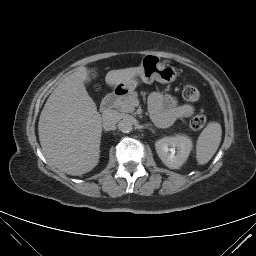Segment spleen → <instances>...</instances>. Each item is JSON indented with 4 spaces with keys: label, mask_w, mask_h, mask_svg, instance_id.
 <instances>
[{
    "label": "spleen",
    "mask_w": 256,
    "mask_h": 256,
    "mask_svg": "<svg viewBox=\"0 0 256 256\" xmlns=\"http://www.w3.org/2000/svg\"><path fill=\"white\" fill-rule=\"evenodd\" d=\"M222 136V128L218 122H210L198 137L196 144V159L198 164L204 165L216 153Z\"/></svg>",
    "instance_id": "spleen-1"
}]
</instances>
